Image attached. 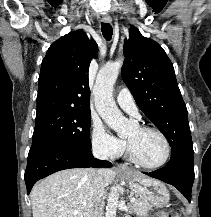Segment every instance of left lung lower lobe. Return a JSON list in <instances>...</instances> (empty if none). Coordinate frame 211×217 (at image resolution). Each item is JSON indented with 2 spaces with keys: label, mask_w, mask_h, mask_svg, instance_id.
<instances>
[{
  "label": "left lung lower lobe",
  "mask_w": 211,
  "mask_h": 217,
  "mask_svg": "<svg viewBox=\"0 0 211 217\" xmlns=\"http://www.w3.org/2000/svg\"><path fill=\"white\" fill-rule=\"evenodd\" d=\"M144 174L175 186L190 202L194 181V159L174 158L163 168Z\"/></svg>",
  "instance_id": "obj_1"
}]
</instances>
